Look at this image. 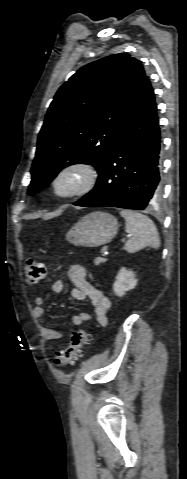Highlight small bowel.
<instances>
[{"instance_id":"small-bowel-1","label":"small bowel","mask_w":187,"mask_h":479,"mask_svg":"<svg viewBox=\"0 0 187 479\" xmlns=\"http://www.w3.org/2000/svg\"><path fill=\"white\" fill-rule=\"evenodd\" d=\"M67 273L69 279L74 284V288L70 292L71 298L76 301H89L94 307L96 322L101 326H105L107 323V314L111 308L109 298L101 290L92 286L84 268L80 266H72L68 269ZM63 291V281L56 280L52 285V292L54 294H60ZM45 302L46 298L42 295L37 296L34 300V317L40 322H45L43 308ZM90 319L91 316L87 312H80L71 317V321L76 326H82ZM42 331L44 337L50 342L58 340L61 337V334L57 330L49 327H43Z\"/></svg>"}]
</instances>
